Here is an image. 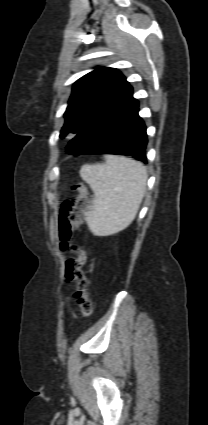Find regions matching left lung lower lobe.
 <instances>
[{
	"instance_id": "left-lung-lower-lobe-1",
	"label": "left lung lower lobe",
	"mask_w": 208,
	"mask_h": 425,
	"mask_svg": "<svg viewBox=\"0 0 208 425\" xmlns=\"http://www.w3.org/2000/svg\"><path fill=\"white\" fill-rule=\"evenodd\" d=\"M128 86L84 127L74 139L81 154H118L146 162V127L139 117L138 101Z\"/></svg>"
}]
</instances>
